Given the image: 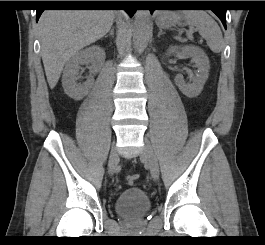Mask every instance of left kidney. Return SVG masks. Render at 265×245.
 <instances>
[{
	"label": "left kidney",
	"mask_w": 265,
	"mask_h": 245,
	"mask_svg": "<svg viewBox=\"0 0 265 245\" xmlns=\"http://www.w3.org/2000/svg\"><path fill=\"white\" fill-rule=\"evenodd\" d=\"M178 51H180L183 56L192 59V62L195 63L194 66L197 68V72L195 76L190 79V82H185L181 74L176 75L175 84L187 97H197L201 93L203 86L208 79L210 69L209 59L201 48L192 45L184 47H170L168 49V54L171 55Z\"/></svg>",
	"instance_id": "1"
}]
</instances>
